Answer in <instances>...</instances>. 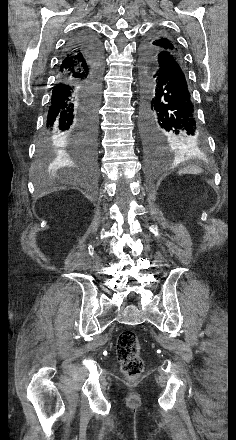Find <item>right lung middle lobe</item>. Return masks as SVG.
Instances as JSON below:
<instances>
[{
    "mask_svg": "<svg viewBox=\"0 0 236 440\" xmlns=\"http://www.w3.org/2000/svg\"><path fill=\"white\" fill-rule=\"evenodd\" d=\"M86 92L89 99L94 103V106L97 108L101 91L96 86L89 85L86 87ZM93 116L96 119V112L93 113ZM58 145H61V143L54 138L44 139L39 150L38 159L40 160V162L46 163L52 160L54 157L53 148ZM94 159L95 157L91 159L90 164L94 163Z\"/></svg>",
    "mask_w": 236,
    "mask_h": 440,
    "instance_id": "dd1d6c3e",
    "label": "right lung middle lobe"
}]
</instances>
